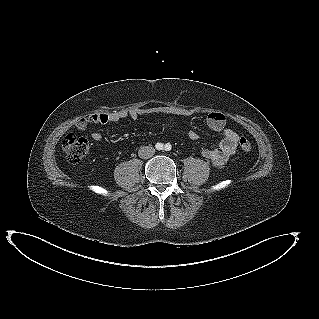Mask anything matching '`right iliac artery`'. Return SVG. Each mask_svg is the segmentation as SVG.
<instances>
[{"label":"right iliac artery","mask_w":319,"mask_h":319,"mask_svg":"<svg viewBox=\"0 0 319 319\" xmlns=\"http://www.w3.org/2000/svg\"><path fill=\"white\" fill-rule=\"evenodd\" d=\"M163 144L162 143H157L156 145H155V147H156V149L157 150H162L163 149Z\"/></svg>","instance_id":"1"}]
</instances>
